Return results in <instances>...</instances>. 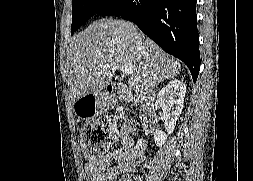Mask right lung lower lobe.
Instances as JSON below:
<instances>
[{"instance_id": "1", "label": "right lung lower lobe", "mask_w": 253, "mask_h": 181, "mask_svg": "<svg viewBox=\"0 0 253 181\" xmlns=\"http://www.w3.org/2000/svg\"><path fill=\"white\" fill-rule=\"evenodd\" d=\"M196 0H130L115 13L134 22L165 52L182 60L193 81L200 69Z\"/></svg>"}]
</instances>
